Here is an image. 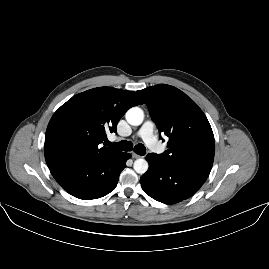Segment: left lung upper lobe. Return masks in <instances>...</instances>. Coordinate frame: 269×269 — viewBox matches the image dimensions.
<instances>
[{
  "mask_svg": "<svg viewBox=\"0 0 269 269\" xmlns=\"http://www.w3.org/2000/svg\"><path fill=\"white\" fill-rule=\"evenodd\" d=\"M137 93L148 106L160 133L169 137L168 149L163 154H150L166 164L208 176L215 142L202 110L185 93L170 85H155Z\"/></svg>",
  "mask_w": 269,
  "mask_h": 269,
  "instance_id": "1",
  "label": "left lung upper lobe"
}]
</instances>
